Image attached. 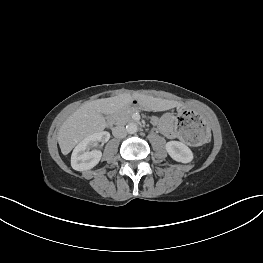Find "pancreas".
Wrapping results in <instances>:
<instances>
[{
  "instance_id": "cf45deb5",
  "label": "pancreas",
  "mask_w": 263,
  "mask_h": 263,
  "mask_svg": "<svg viewBox=\"0 0 263 263\" xmlns=\"http://www.w3.org/2000/svg\"><path fill=\"white\" fill-rule=\"evenodd\" d=\"M135 110L128 108L115 114V120L118 124H126L132 120L131 116Z\"/></svg>"
}]
</instances>
